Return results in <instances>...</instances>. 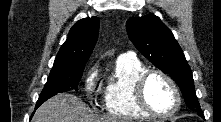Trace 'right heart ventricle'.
<instances>
[{
    "label": "right heart ventricle",
    "mask_w": 221,
    "mask_h": 122,
    "mask_svg": "<svg viewBox=\"0 0 221 122\" xmlns=\"http://www.w3.org/2000/svg\"><path fill=\"white\" fill-rule=\"evenodd\" d=\"M144 71L146 67L137 59H117L104 91V105L109 114L133 119L149 117L134 97V82Z\"/></svg>",
    "instance_id": "1"
}]
</instances>
